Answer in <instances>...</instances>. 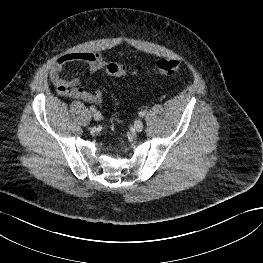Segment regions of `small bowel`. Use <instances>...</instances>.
I'll return each mask as SVG.
<instances>
[{
  "label": "small bowel",
  "mask_w": 263,
  "mask_h": 263,
  "mask_svg": "<svg viewBox=\"0 0 263 263\" xmlns=\"http://www.w3.org/2000/svg\"><path fill=\"white\" fill-rule=\"evenodd\" d=\"M73 62L86 63L92 73L101 70L105 65L103 57L98 52H73L59 57L51 66L49 73L50 80L58 94L88 103L101 102L103 98L101 90H96L94 92L86 91L80 86L79 79L65 78L62 75L65 65Z\"/></svg>",
  "instance_id": "small-bowel-1"
}]
</instances>
